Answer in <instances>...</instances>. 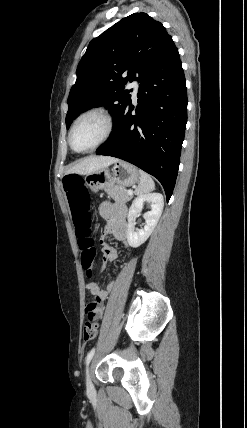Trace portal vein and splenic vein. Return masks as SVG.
Returning a JSON list of instances; mask_svg holds the SVG:
<instances>
[{"mask_svg":"<svg viewBox=\"0 0 247 428\" xmlns=\"http://www.w3.org/2000/svg\"><path fill=\"white\" fill-rule=\"evenodd\" d=\"M128 194L129 195H133V191L132 190H128Z\"/></svg>","mask_w":247,"mask_h":428,"instance_id":"1","label":"portal vein and splenic vein"}]
</instances>
